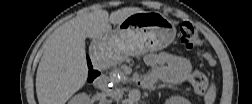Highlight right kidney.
Instances as JSON below:
<instances>
[{"instance_id": "obj_1", "label": "right kidney", "mask_w": 252, "mask_h": 104, "mask_svg": "<svg viewBox=\"0 0 252 104\" xmlns=\"http://www.w3.org/2000/svg\"><path fill=\"white\" fill-rule=\"evenodd\" d=\"M89 101V96L86 93H80L75 95L70 101L69 104H86Z\"/></svg>"}]
</instances>
